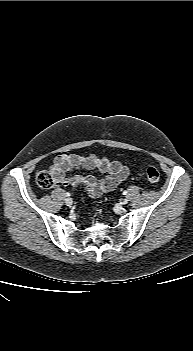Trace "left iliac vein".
<instances>
[{"instance_id":"1","label":"left iliac vein","mask_w":193,"mask_h":351,"mask_svg":"<svg viewBox=\"0 0 193 351\" xmlns=\"http://www.w3.org/2000/svg\"><path fill=\"white\" fill-rule=\"evenodd\" d=\"M128 203V200L127 199H124L123 201H122V204H127Z\"/></svg>"}]
</instances>
